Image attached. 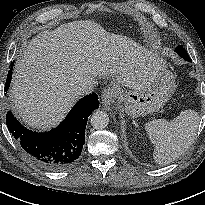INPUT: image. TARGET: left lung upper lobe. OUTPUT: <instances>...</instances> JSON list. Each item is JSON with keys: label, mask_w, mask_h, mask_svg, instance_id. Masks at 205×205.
I'll return each instance as SVG.
<instances>
[{"label": "left lung upper lobe", "mask_w": 205, "mask_h": 205, "mask_svg": "<svg viewBox=\"0 0 205 205\" xmlns=\"http://www.w3.org/2000/svg\"><path fill=\"white\" fill-rule=\"evenodd\" d=\"M176 51L179 54V56H181L187 61H191V58L189 57L188 53L186 52V50L183 48L182 45L177 46Z\"/></svg>", "instance_id": "5c2ea615"}]
</instances>
